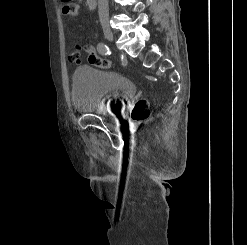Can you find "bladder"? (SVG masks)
Returning a JSON list of instances; mask_svg holds the SVG:
<instances>
[{"mask_svg":"<svg viewBox=\"0 0 247 245\" xmlns=\"http://www.w3.org/2000/svg\"><path fill=\"white\" fill-rule=\"evenodd\" d=\"M134 92L135 84L129 77L112 71L83 66L72 77V104L84 113H117Z\"/></svg>","mask_w":247,"mask_h":245,"instance_id":"1","label":"bladder"}]
</instances>
